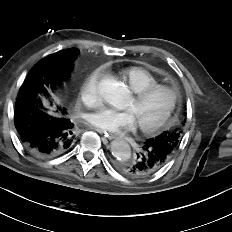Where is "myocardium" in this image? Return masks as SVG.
Instances as JSON below:
<instances>
[{
    "instance_id": "f54148a6",
    "label": "myocardium",
    "mask_w": 232,
    "mask_h": 232,
    "mask_svg": "<svg viewBox=\"0 0 232 232\" xmlns=\"http://www.w3.org/2000/svg\"><path fill=\"white\" fill-rule=\"evenodd\" d=\"M160 91H166L170 95V102L169 105L165 111V113L157 119L155 122L150 123V124H143V123H138V128L140 129L141 132L146 133V134H151L165 125L170 121L176 107L178 104L179 100V93L176 88L169 86V85H164V84H156L147 88H144L140 91L134 92V97L133 99L136 102H141L153 95L154 93L160 92Z\"/></svg>"
}]
</instances>
